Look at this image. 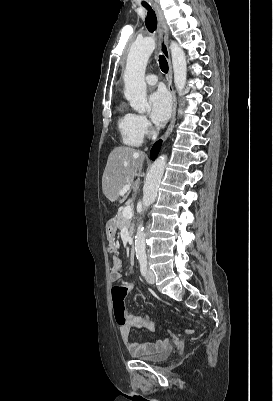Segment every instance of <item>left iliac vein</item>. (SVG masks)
Instances as JSON below:
<instances>
[{"label": "left iliac vein", "mask_w": 273, "mask_h": 401, "mask_svg": "<svg viewBox=\"0 0 273 401\" xmlns=\"http://www.w3.org/2000/svg\"><path fill=\"white\" fill-rule=\"evenodd\" d=\"M146 281L150 284H154L155 283V275L154 272L150 269L147 270V274H146Z\"/></svg>", "instance_id": "1"}]
</instances>
